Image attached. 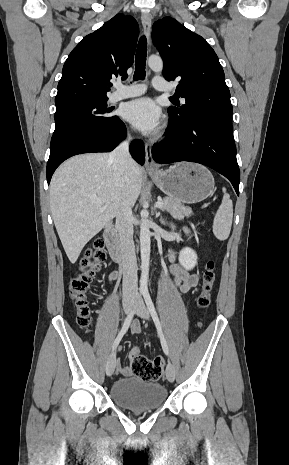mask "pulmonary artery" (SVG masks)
Returning a JSON list of instances; mask_svg holds the SVG:
<instances>
[{"instance_id":"1","label":"pulmonary artery","mask_w":289,"mask_h":465,"mask_svg":"<svg viewBox=\"0 0 289 465\" xmlns=\"http://www.w3.org/2000/svg\"><path fill=\"white\" fill-rule=\"evenodd\" d=\"M152 86L154 89L158 91H170L171 87L166 82V80L161 76H155L153 78ZM116 90L110 95L109 100L110 102H117L119 100L135 97L142 95L146 91V85L144 84H133L130 86H124L121 84H117Z\"/></svg>"}]
</instances>
